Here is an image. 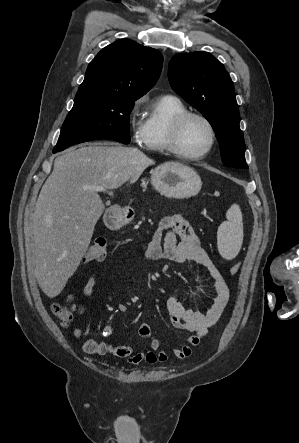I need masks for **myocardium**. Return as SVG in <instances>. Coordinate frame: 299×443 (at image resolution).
<instances>
[{
    "mask_svg": "<svg viewBox=\"0 0 299 443\" xmlns=\"http://www.w3.org/2000/svg\"><path fill=\"white\" fill-rule=\"evenodd\" d=\"M192 117L202 120L207 125L209 133H210V142H209L208 147L202 153L195 154V155L185 153L181 149L180 143H179L182 128H183L185 122L189 118H192ZM215 143H216L215 128H214L212 122L205 115H203L199 112L186 110V111L176 115L173 118V120L170 124V129H169L168 148H169L170 152H172L173 154H175L179 158H182L185 160L203 159L212 151V149L215 146Z\"/></svg>",
    "mask_w": 299,
    "mask_h": 443,
    "instance_id": "1",
    "label": "myocardium"
}]
</instances>
